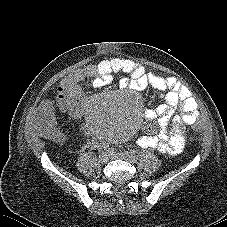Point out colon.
Masks as SVG:
<instances>
[{
    "label": "colon",
    "instance_id": "obj_1",
    "mask_svg": "<svg viewBox=\"0 0 227 227\" xmlns=\"http://www.w3.org/2000/svg\"><path fill=\"white\" fill-rule=\"evenodd\" d=\"M46 135L53 141H60L62 139V134L58 129L53 126H48L46 129ZM199 141V134L197 132H189L185 139V142L188 146L193 147Z\"/></svg>",
    "mask_w": 227,
    "mask_h": 227
}]
</instances>
